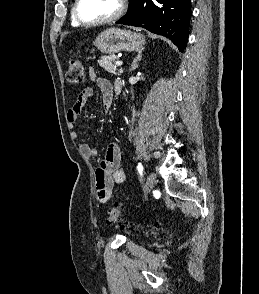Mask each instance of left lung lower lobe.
I'll list each match as a JSON object with an SVG mask.
<instances>
[{
    "mask_svg": "<svg viewBox=\"0 0 259 294\" xmlns=\"http://www.w3.org/2000/svg\"><path fill=\"white\" fill-rule=\"evenodd\" d=\"M191 0H133L117 24L143 27L169 38L182 51L188 41Z\"/></svg>",
    "mask_w": 259,
    "mask_h": 294,
    "instance_id": "obj_1",
    "label": "left lung lower lobe"
}]
</instances>
